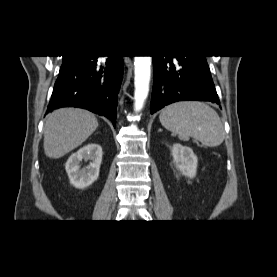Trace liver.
Returning a JSON list of instances; mask_svg holds the SVG:
<instances>
[{
	"label": "liver",
	"mask_w": 277,
	"mask_h": 277,
	"mask_svg": "<svg viewBox=\"0 0 277 277\" xmlns=\"http://www.w3.org/2000/svg\"><path fill=\"white\" fill-rule=\"evenodd\" d=\"M98 127L94 114L78 108H61L46 117L44 152L60 158L80 146Z\"/></svg>",
	"instance_id": "obj_1"
}]
</instances>
